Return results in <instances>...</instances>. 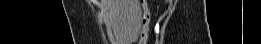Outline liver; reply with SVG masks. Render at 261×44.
<instances>
[{
  "mask_svg": "<svg viewBox=\"0 0 261 44\" xmlns=\"http://www.w3.org/2000/svg\"><path fill=\"white\" fill-rule=\"evenodd\" d=\"M108 3L115 36L122 44L135 41L141 26L139 0H110Z\"/></svg>",
  "mask_w": 261,
  "mask_h": 44,
  "instance_id": "1",
  "label": "liver"
}]
</instances>
